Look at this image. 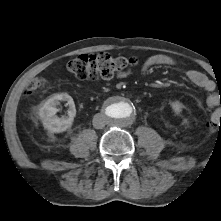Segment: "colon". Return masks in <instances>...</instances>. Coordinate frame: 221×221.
I'll return each instance as SVG.
<instances>
[{"instance_id": "1", "label": "colon", "mask_w": 221, "mask_h": 221, "mask_svg": "<svg viewBox=\"0 0 221 221\" xmlns=\"http://www.w3.org/2000/svg\"><path fill=\"white\" fill-rule=\"evenodd\" d=\"M136 62L134 57L114 56L107 52H100L74 58L68 63V69L81 80L110 79L134 66ZM45 85L44 79L33 81L28 88V94L36 92ZM209 126L221 128V110H217L212 115Z\"/></svg>"}]
</instances>
